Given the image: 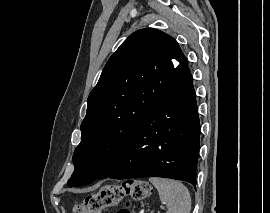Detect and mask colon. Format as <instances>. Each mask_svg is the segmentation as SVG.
<instances>
[{
    "instance_id": "5ec220e1",
    "label": "colon",
    "mask_w": 270,
    "mask_h": 213,
    "mask_svg": "<svg viewBox=\"0 0 270 213\" xmlns=\"http://www.w3.org/2000/svg\"><path fill=\"white\" fill-rule=\"evenodd\" d=\"M151 191V186L141 179H131L120 185H106L75 205L73 213H101L105 208L116 206L125 195L139 201L150 196ZM118 213H131L129 204L119 209Z\"/></svg>"
}]
</instances>
